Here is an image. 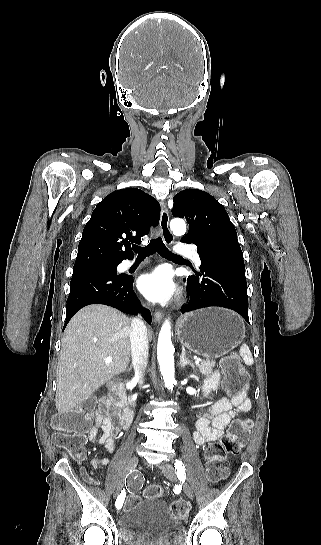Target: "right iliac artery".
I'll use <instances>...</instances> for the list:
<instances>
[{"instance_id":"right-iliac-artery-1","label":"right iliac artery","mask_w":321,"mask_h":545,"mask_svg":"<svg viewBox=\"0 0 321 545\" xmlns=\"http://www.w3.org/2000/svg\"><path fill=\"white\" fill-rule=\"evenodd\" d=\"M125 496H126V492H125V489H123L121 491L120 496L116 500V508L117 509H120L122 507V503H123V500H124Z\"/></svg>"}]
</instances>
